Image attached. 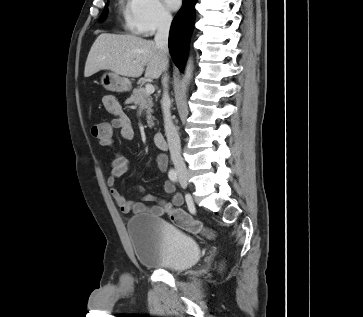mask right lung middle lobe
I'll use <instances>...</instances> for the list:
<instances>
[{"label":"right lung middle lobe","mask_w":363,"mask_h":317,"mask_svg":"<svg viewBox=\"0 0 363 317\" xmlns=\"http://www.w3.org/2000/svg\"><path fill=\"white\" fill-rule=\"evenodd\" d=\"M106 14H107V7H105V9L100 17V20H103L106 17Z\"/></svg>","instance_id":"dd1d6c3e"}]
</instances>
